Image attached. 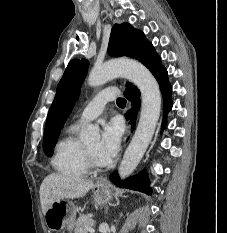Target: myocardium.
<instances>
[{
    "label": "myocardium",
    "mask_w": 227,
    "mask_h": 233,
    "mask_svg": "<svg viewBox=\"0 0 227 233\" xmlns=\"http://www.w3.org/2000/svg\"><path fill=\"white\" fill-rule=\"evenodd\" d=\"M84 153H85V158H86L88 169H91L94 171H100L105 167L104 164L98 162L95 159V157L92 154H90L86 149H84Z\"/></svg>",
    "instance_id": "f54148a6"
}]
</instances>
